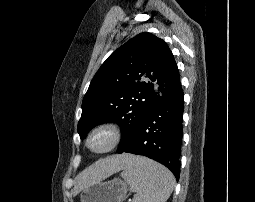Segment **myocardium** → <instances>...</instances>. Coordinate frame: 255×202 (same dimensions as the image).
<instances>
[{"label": "myocardium", "mask_w": 255, "mask_h": 202, "mask_svg": "<svg viewBox=\"0 0 255 202\" xmlns=\"http://www.w3.org/2000/svg\"><path fill=\"white\" fill-rule=\"evenodd\" d=\"M101 133L108 135L109 143L103 149L100 150L93 149L90 145L91 139L95 135ZM121 139H122L121 127L114 122H104L91 129V131L88 133L86 137L85 144L89 151L96 154H105L115 149L120 144Z\"/></svg>", "instance_id": "f54148a6"}]
</instances>
